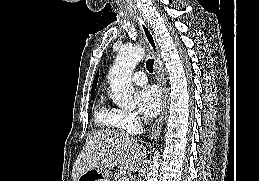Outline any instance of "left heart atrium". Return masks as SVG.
<instances>
[{"label": "left heart atrium", "mask_w": 259, "mask_h": 181, "mask_svg": "<svg viewBox=\"0 0 259 181\" xmlns=\"http://www.w3.org/2000/svg\"><path fill=\"white\" fill-rule=\"evenodd\" d=\"M135 102L144 117H154L161 108L162 95L157 86L148 85L136 92Z\"/></svg>", "instance_id": "1"}]
</instances>
